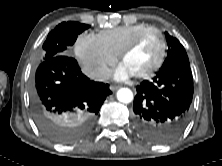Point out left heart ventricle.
I'll use <instances>...</instances> for the list:
<instances>
[{
	"label": "left heart ventricle",
	"instance_id": "obj_1",
	"mask_svg": "<svg viewBox=\"0 0 222 166\" xmlns=\"http://www.w3.org/2000/svg\"><path fill=\"white\" fill-rule=\"evenodd\" d=\"M161 42L156 33L146 35L139 45L128 54L122 64L132 73L137 74L149 69L157 61Z\"/></svg>",
	"mask_w": 222,
	"mask_h": 166
}]
</instances>
